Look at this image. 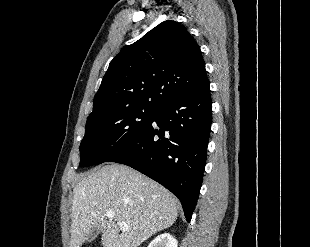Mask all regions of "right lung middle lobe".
Segmentation results:
<instances>
[{
  "label": "right lung middle lobe",
  "mask_w": 310,
  "mask_h": 247,
  "mask_svg": "<svg viewBox=\"0 0 310 247\" xmlns=\"http://www.w3.org/2000/svg\"><path fill=\"white\" fill-rule=\"evenodd\" d=\"M155 112L153 109L127 108L87 120L86 133L80 144V166L101 164L130 146Z\"/></svg>",
  "instance_id": "obj_1"
}]
</instances>
